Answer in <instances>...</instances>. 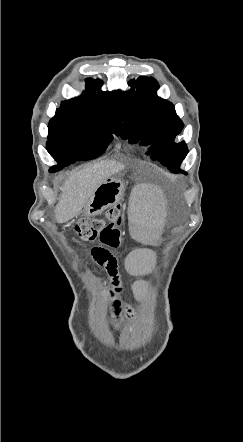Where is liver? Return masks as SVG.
<instances>
[{
	"mask_svg": "<svg viewBox=\"0 0 243 442\" xmlns=\"http://www.w3.org/2000/svg\"><path fill=\"white\" fill-rule=\"evenodd\" d=\"M124 168L125 166L119 162L106 160L87 164L72 173L66 180L62 195L55 207L56 222L65 223L77 216L97 187Z\"/></svg>",
	"mask_w": 243,
	"mask_h": 442,
	"instance_id": "1",
	"label": "liver"
}]
</instances>
